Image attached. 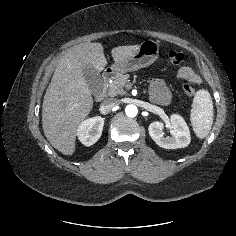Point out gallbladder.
<instances>
[{
  "mask_svg": "<svg viewBox=\"0 0 236 236\" xmlns=\"http://www.w3.org/2000/svg\"><path fill=\"white\" fill-rule=\"evenodd\" d=\"M83 74L92 93H98L102 86V78L98 70L91 65L83 67Z\"/></svg>",
  "mask_w": 236,
  "mask_h": 236,
  "instance_id": "1",
  "label": "gallbladder"
}]
</instances>
